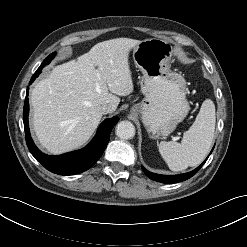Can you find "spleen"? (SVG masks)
I'll return each mask as SVG.
<instances>
[{
    "label": "spleen",
    "instance_id": "1",
    "mask_svg": "<svg viewBox=\"0 0 247 247\" xmlns=\"http://www.w3.org/2000/svg\"><path fill=\"white\" fill-rule=\"evenodd\" d=\"M215 123V105L212 100L206 99L194 123L184 132L181 143H159V152L170 170L182 171L204 160L214 139Z\"/></svg>",
    "mask_w": 247,
    "mask_h": 247
}]
</instances>
